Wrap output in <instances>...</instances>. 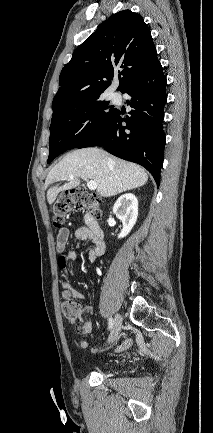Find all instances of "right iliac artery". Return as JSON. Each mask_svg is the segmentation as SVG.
Returning <instances> with one entry per match:
<instances>
[{
  "label": "right iliac artery",
  "mask_w": 213,
  "mask_h": 433,
  "mask_svg": "<svg viewBox=\"0 0 213 433\" xmlns=\"http://www.w3.org/2000/svg\"><path fill=\"white\" fill-rule=\"evenodd\" d=\"M108 325H109V329H112L113 328V325H114V320H113V318H109L108 319Z\"/></svg>",
  "instance_id": "1"
}]
</instances>
